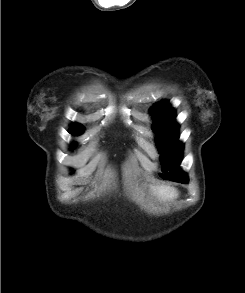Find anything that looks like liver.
<instances>
[{"label":"liver","instance_id":"6515ba94","mask_svg":"<svg viewBox=\"0 0 245 293\" xmlns=\"http://www.w3.org/2000/svg\"><path fill=\"white\" fill-rule=\"evenodd\" d=\"M151 189L160 200H173L178 197L177 190L168 185H154Z\"/></svg>","mask_w":245,"mask_h":293}]
</instances>
